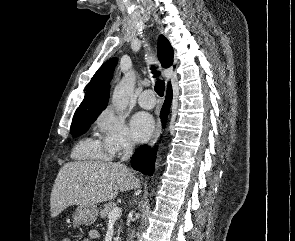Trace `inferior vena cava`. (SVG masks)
Masks as SVG:
<instances>
[{
  "instance_id": "1",
  "label": "inferior vena cava",
  "mask_w": 295,
  "mask_h": 241,
  "mask_svg": "<svg viewBox=\"0 0 295 241\" xmlns=\"http://www.w3.org/2000/svg\"><path fill=\"white\" fill-rule=\"evenodd\" d=\"M133 153V142L131 140H126L123 143V155L121 157V162L127 161Z\"/></svg>"
}]
</instances>
